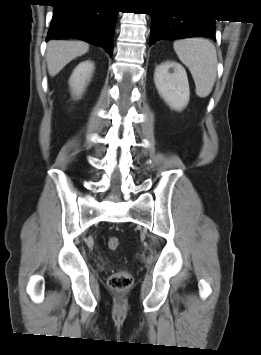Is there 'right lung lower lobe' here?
I'll return each mask as SVG.
<instances>
[{"mask_svg":"<svg viewBox=\"0 0 261 355\" xmlns=\"http://www.w3.org/2000/svg\"><path fill=\"white\" fill-rule=\"evenodd\" d=\"M103 0H56L46 41L78 38L113 52V34L118 12Z\"/></svg>","mask_w":261,"mask_h":355,"instance_id":"1","label":"right lung lower lobe"}]
</instances>
